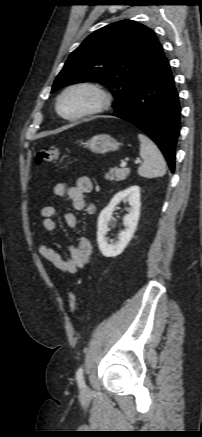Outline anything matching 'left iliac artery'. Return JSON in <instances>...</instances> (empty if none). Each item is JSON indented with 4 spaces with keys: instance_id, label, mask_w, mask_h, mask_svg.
Returning <instances> with one entry per match:
<instances>
[{
    "instance_id": "left-iliac-artery-1",
    "label": "left iliac artery",
    "mask_w": 202,
    "mask_h": 437,
    "mask_svg": "<svg viewBox=\"0 0 202 437\" xmlns=\"http://www.w3.org/2000/svg\"><path fill=\"white\" fill-rule=\"evenodd\" d=\"M76 380L80 387H84L83 367H79L76 372Z\"/></svg>"
}]
</instances>
